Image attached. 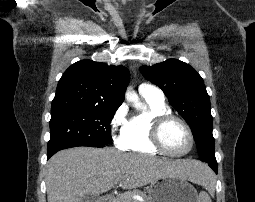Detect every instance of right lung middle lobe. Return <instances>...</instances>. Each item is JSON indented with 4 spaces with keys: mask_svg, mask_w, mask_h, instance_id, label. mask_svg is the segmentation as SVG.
I'll return each instance as SVG.
<instances>
[{
    "mask_svg": "<svg viewBox=\"0 0 255 202\" xmlns=\"http://www.w3.org/2000/svg\"><path fill=\"white\" fill-rule=\"evenodd\" d=\"M117 108H81L51 114L48 153L76 146L105 147Z\"/></svg>",
    "mask_w": 255,
    "mask_h": 202,
    "instance_id": "obj_1",
    "label": "right lung middle lobe"
}]
</instances>
